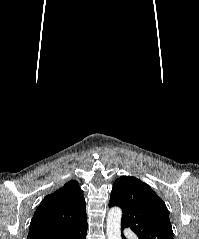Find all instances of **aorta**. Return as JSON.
I'll return each mask as SVG.
<instances>
[{
	"label": "aorta",
	"mask_w": 199,
	"mask_h": 239,
	"mask_svg": "<svg viewBox=\"0 0 199 239\" xmlns=\"http://www.w3.org/2000/svg\"><path fill=\"white\" fill-rule=\"evenodd\" d=\"M121 217L122 210L113 207L107 215V237L108 239H121Z\"/></svg>",
	"instance_id": "obj_1"
}]
</instances>
